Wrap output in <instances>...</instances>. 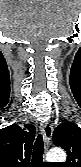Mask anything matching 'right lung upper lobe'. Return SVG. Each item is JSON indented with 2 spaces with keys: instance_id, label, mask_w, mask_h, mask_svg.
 I'll return each mask as SVG.
<instances>
[{
  "instance_id": "right-lung-upper-lobe-1",
  "label": "right lung upper lobe",
  "mask_w": 81,
  "mask_h": 167,
  "mask_svg": "<svg viewBox=\"0 0 81 167\" xmlns=\"http://www.w3.org/2000/svg\"><path fill=\"white\" fill-rule=\"evenodd\" d=\"M36 129L17 124L0 129V167H30V154Z\"/></svg>"
}]
</instances>
